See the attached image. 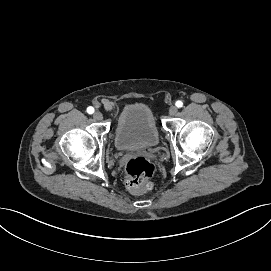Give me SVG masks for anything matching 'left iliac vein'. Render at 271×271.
<instances>
[{"mask_svg":"<svg viewBox=\"0 0 271 271\" xmlns=\"http://www.w3.org/2000/svg\"><path fill=\"white\" fill-rule=\"evenodd\" d=\"M177 112H178V108L176 106H171L169 108V115L174 116L177 114Z\"/></svg>","mask_w":271,"mask_h":271,"instance_id":"4c4485c4","label":"left iliac vein"}]
</instances>
